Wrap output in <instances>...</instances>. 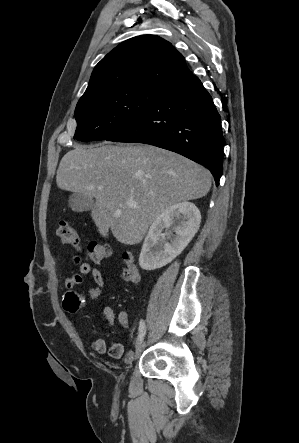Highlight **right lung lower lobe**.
Listing matches in <instances>:
<instances>
[{"mask_svg":"<svg viewBox=\"0 0 299 443\" xmlns=\"http://www.w3.org/2000/svg\"><path fill=\"white\" fill-rule=\"evenodd\" d=\"M106 140L145 143L179 153L205 165L219 184L223 160L221 118L197 76L191 75L164 90L142 116Z\"/></svg>","mask_w":299,"mask_h":443,"instance_id":"right-lung-lower-lobe-1","label":"right lung lower lobe"}]
</instances>
